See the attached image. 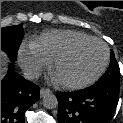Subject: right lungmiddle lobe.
<instances>
[{
    "instance_id": "1",
    "label": "right lung middle lobe",
    "mask_w": 123,
    "mask_h": 123,
    "mask_svg": "<svg viewBox=\"0 0 123 123\" xmlns=\"http://www.w3.org/2000/svg\"><path fill=\"white\" fill-rule=\"evenodd\" d=\"M22 37L23 30L21 25L1 28V50L15 60Z\"/></svg>"
}]
</instances>
